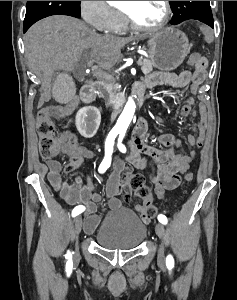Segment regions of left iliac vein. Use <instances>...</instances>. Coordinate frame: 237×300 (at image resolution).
Returning a JSON list of instances; mask_svg holds the SVG:
<instances>
[{
    "mask_svg": "<svg viewBox=\"0 0 237 300\" xmlns=\"http://www.w3.org/2000/svg\"><path fill=\"white\" fill-rule=\"evenodd\" d=\"M155 231H156V234L158 235V237L160 238V240L163 241L165 238V228H164L163 224L157 223L156 227H155ZM157 261L161 267L165 266V255H164L163 245H161V247L158 251Z\"/></svg>",
    "mask_w": 237,
    "mask_h": 300,
    "instance_id": "1",
    "label": "left iliac vein"
}]
</instances>
